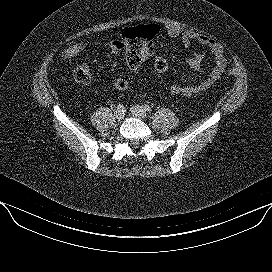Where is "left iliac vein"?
Returning a JSON list of instances; mask_svg holds the SVG:
<instances>
[{
	"instance_id": "1",
	"label": "left iliac vein",
	"mask_w": 272,
	"mask_h": 272,
	"mask_svg": "<svg viewBox=\"0 0 272 272\" xmlns=\"http://www.w3.org/2000/svg\"><path fill=\"white\" fill-rule=\"evenodd\" d=\"M130 111L135 117L139 119H145L147 117L145 109L139 105L132 106Z\"/></svg>"
}]
</instances>
